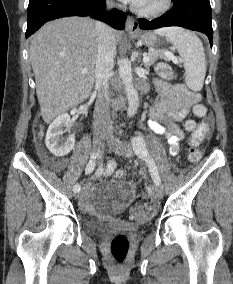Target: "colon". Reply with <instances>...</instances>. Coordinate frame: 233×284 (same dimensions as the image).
<instances>
[{"label":"colon","instance_id":"colon-1","mask_svg":"<svg viewBox=\"0 0 233 284\" xmlns=\"http://www.w3.org/2000/svg\"><path fill=\"white\" fill-rule=\"evenodd\" d=\"M156 71L158 75L165 80H171L174 77V72L171 66L167 63H158L156 65ZM193 112L197 117H205L207 114V110L202 104H196L193 108ZM195 127L196 123L193 120H189L185 123V129L187 131H192L193 129H195ZM188 156L192 162H196L201 158V151L195 147H192L189 150ZM103 175L107 177L113 176L115 178L121 179L125 174L123 170L117 168L114 162H109L103 168ZM149 213V209L145 206H139L134 208L133 210V216L135 219H145L149 216ZM128 250L129 240L125 235L120 234L112 239L110 244V251L113 259L116 262L122 263L128 254Z\"/></svg>","mask_w":233,"mask_h":284}]
</instances>
